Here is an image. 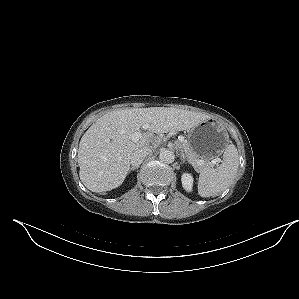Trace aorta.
I'll return each instance as SVG.
<instances>
[{"mask_svg": "<svg viewBox=\"0 0 299 299\" xmlns=\"http://www.w3.org/2000/svg\"><path fill=\"white\" fill-rule=\"evenodd\" d=\"M159 159L164 163H172L175 160V154L171 150L163 149L159 154Z\"/></svg>", "mask_w": 299, "mask_h": 299, "instance_id": "1", "label": "aorta"}]
</instances>
